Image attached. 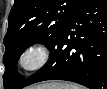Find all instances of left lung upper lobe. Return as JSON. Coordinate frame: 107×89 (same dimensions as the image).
<instances>
[{
  "instance_id": "obj_1",
  "label": "left lung upper lobe",
  "mask_w": 107,
  "mask_h": 89,
  "mask_svg": "<svg viewBox=\"0 0 107 89\" xmlns=\"http://www.w3.org/2000/svg\"><path fill=\"white\" fill-rule=\"evenodd\" d=\"M83 0H15L8 17L4 37L6 66L4 88L16 89L24 80L17 73V60L34 43L47 47L55 40L61 28Z\"/></svg>"
}]
</instances>
